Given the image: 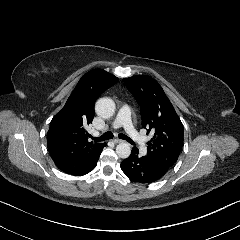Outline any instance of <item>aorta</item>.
I'll list each match as a JSON object with an SVG mask.
<instances>
[{
    "label": "aorta",
    "mask_w": 240,
    "mask_h": 240,
    "mask_svg": "<svg viewBox=\"0 0 240 240\" xmlns=\"http://www.w3.org/2000/svg\"><path fill=\"white\" fill-rule=\"evenodd\" d=\"M115 102L108 97H103L97 100L95 104L96 114L104 119L112 117L115 113ZM116 153L120 158H128L131 154L130 145L126 142H121L116 147Z\"/></svg>",
    "instance_id": "obj_1"
}]
</instances>
